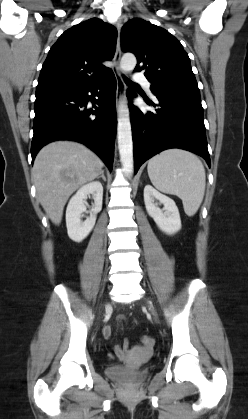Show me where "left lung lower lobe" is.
<instances>
[{"instance_id": "left-lung-lower-lobe-1", "label": "left lung lower lobe", "mask_w": 248, "mask_h": 419, "mask_svg": "<svg viewBox=\"0 0 248 419\" xmlns=\"http://www.w3.org/2000/svg\"><path fill=\"white\" fill-rule=\"evenodd\" d=\"M127 90V97H135ZM158 103L146 101L155 109L141 111L129 103L131 113L135 174L155 154L179 148L202 156L210 166L203 108L200 96L155 95Z\"/></svg>"}]
</instances>
